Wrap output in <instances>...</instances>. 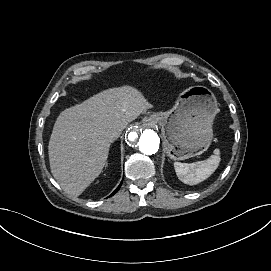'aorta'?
I'll use <instances>...</instances> for the list:
<instances>
[{
	"label": "aorta",
	"mask_w": 271,
	"mask_h": 271,
	"mask_svg": "<svg viewBox=\"0 0 271 271\" xmlns=\"http://www.w3.org/2000/svg\"><path fill=\"white\" fill-rule=\"evenodd\" d=\"M125 138L129 147L145 155L155 154L160 146L158 134L140 124L131 127Z\"/></svg>",
	"instance_id": "aorta-1"
}]
</instances>
